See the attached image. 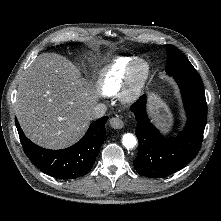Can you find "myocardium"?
Wrapping results in <instances>:
<instances>
[{
  "label": "myocardium",
  "mask_w": 221,
  "mask_h": 221,
  "mask_svg": "<svg viewBox=\"0 0 221 221\" xmlns=\"http://www.w3.org/2000/svg\"><path fill=\"white\" fill-rule=\"evenodd\" d=\"M139 66H142V73L140 77H136V71ZM151 68L149 63L143 58H135L129 65L123 86H122V101L125 103H131L135 101L144 89L149 76Z\"/></svg>",
  "instance_id": "1"
}]
</instances>
